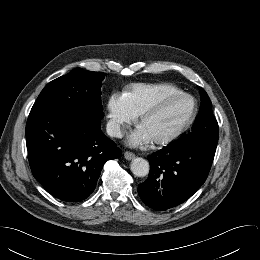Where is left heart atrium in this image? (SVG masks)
I'll list each match as a JSON object with an SVG mask.
<instances>
[{
    "instance_id": "left-heart-atrium-1",
    "label": "left heart atrium",
    "mask_w": 260,
    "mask_h": 260,
    "mask_svg": "<svg viewBox=\"0 0 260 260\" xmlns=\"http://www.w3.org/2000/svg\"><path fill=\"white\" fill-rule=\"evenodd\" d=\"M151 141V136L145 131L142 126L132 132L127 140L128 144L132 147H139L148 144Z\"/></svg>"
}]
</instances>
